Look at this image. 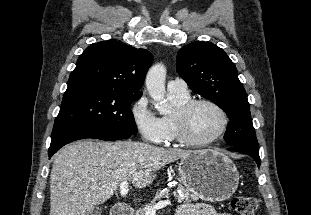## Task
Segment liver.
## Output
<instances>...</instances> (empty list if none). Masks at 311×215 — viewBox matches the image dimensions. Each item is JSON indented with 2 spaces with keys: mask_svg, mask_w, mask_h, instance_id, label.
Masks as SVG:
<instances>
[{
  "mask_svg": "<svg viewBox=\"0 0 311 215\" xmlns=\"http://www.w3.org/2000/svg\"><path fill=\"white\" fill-rule=\"evenodd\" d=\"M192 151L142 142L77 141L55 155L50 175V215H91L123 181L144 188L163 166Z\"/></svg>",
  "mask_w": 311,
  "mask_h": 215,
  "instance_id": "6515ba94",
  "label": "liver"
}]
</instances>
